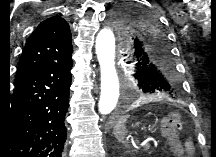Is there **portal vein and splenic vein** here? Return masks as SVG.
Wrapping results in <instances>:
<instances>
[{
  "mask_svg": "<svg viewBox=\"0 0 216 157\" xmlns=\"http://www.w3.org/2000/svg\"><path fill=\"white\" fill-rule=\"evenodd\" d=\"M144 148L148 149L150 146L147 145L146 143L143 145Z\"/></svg>",
  "mask_w": 216,
  "mask_h": 157,
  "instance_id": "obj_1",
  "label": "portal vein and splenic vein"
}]
</instances>
